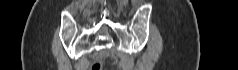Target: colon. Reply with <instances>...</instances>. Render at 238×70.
<instances>
[{"mask_svg": "<svg viewBox=\"0 0 238 70\" xmlns=\"http://www.w3.org/2000/svg\"><path fill=\"white\" fill-rule=\"evenodd\" d=\"M101 63L100 62H96L95 64H93L91 70H101Z\"/></svg>", "mask_w": 238, "mask_h": 70, "instance_id": "colon-1", "label": "colon"}]
</instances>
